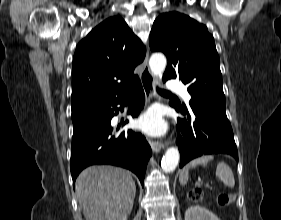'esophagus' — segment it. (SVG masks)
I'll return each mask as SVG.
<instances>
[{"label":"esophagus","instance_id":"obj_1","mask_svg":"<svg viewBox=\"0 0 281 220\" xmlns=\"http://www.w3.org/2000/svg\"><path fill=\"white\" fill-rule=\"evenodd\" d=\"M148 57H149V54L147 53L146 57L144 59V63H143L144 68H143V72L141 74V83H142L146 98L150 99L156 95V90H155V78L148 66ZM148 142H149V145L151 146L153 152L157 153L161 149L164 148L163 143H161L159 141H154V140L149 139Z\"/></svg>","mask_w":281,"mask_h":220}]
</instances>
